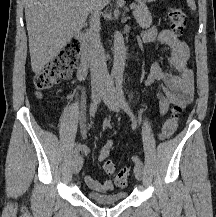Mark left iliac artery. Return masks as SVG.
I'll list each match as a JSON object with an SVG mask.
<instances>
[{
	"label": "left iliac artery",
	"mask_w": 216,
	"mask_h": 217,
	"mask_svg": "<svg viewBox=\"0 0 216 217\" xmlns=\"http://www.w3.org/2000/svg\"><path fill=\"white\" fill-rule=\"evenodd\" d=\"M123 76L122 75H117L116 76V90H117V95L119 98L120 105L122 109L130 116L132 120V127L133 129H136L137 127V121L133 113L131 112V109L125 99L124 91H123ZM132 160L136 164H141V160L137 156H132Z\"/></svg>",
	"instance_id": "1"
}]
</instances>
